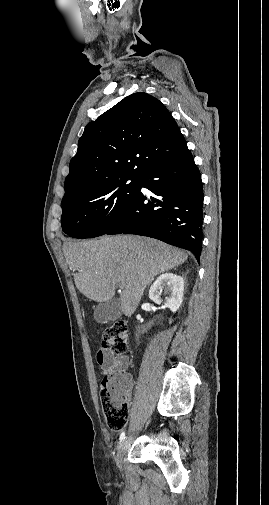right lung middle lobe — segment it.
I'll return each instance as SVG.
<instances>
[{"mask_svg":"<svg viewBox=\"0 0 269 505\" xmlns=\"http://www.w3.org/2000/svg\"><path fill=\"white\" fill-rule=\"evenodd\" d=\"M138 179L97 185L62 201V229L74 238L106 234L124 215L139 192Z\"/></svg>","mask_w":269,"mask_h":505,"instance_id":"dd1d6c3e","label":"right lung middle lobe"}]
</instances>
